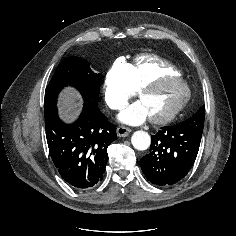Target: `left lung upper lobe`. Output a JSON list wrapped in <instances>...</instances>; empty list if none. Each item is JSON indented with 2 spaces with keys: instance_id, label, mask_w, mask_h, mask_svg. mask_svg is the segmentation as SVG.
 Returning a JSON list of instances; mask_svg holds the SVG:
<instances>
[{
  "instance_id": "left-lung-upper-lobe-1",
  "label": "left lung upper lobe",
  "mask_w": 236,
  "mask_h": 236,
  "mask_svg": "<svg viewBox=\"0 0 236 236\" xmlns=\"http://www.w3.org/2000/svg\"><path fill=\"white\" fill-rule=\"evenodd\" d=\"M204 119H205V106H202L192 117L188 118L187 120L177 125L203 132Z\"/></svg>"
}]
</instances>
